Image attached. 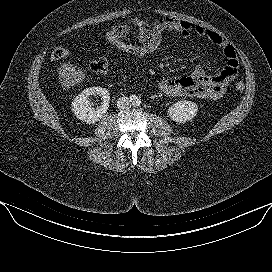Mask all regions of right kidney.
Listing matches in <instances>:
<instances>
[{"label":"right kidney","mask_w":272,"mask_h":272,"mask_svg":"<svg viewBox=\"0 0 272 272\" xmlns=\"http://www.w3.org/2000/svg\"><path fill=\"white\" fill-rule=\"evenodd\" d=\"M101 96L102 103L97 108L93 107V103L89 101V96ZM109 91L102 87H90L83 90L71 104V110L77 119L93 124L99 121L107 112L109 107Z\"/></svg>","instance_id":"right-kidney-1"}]
</instances>
